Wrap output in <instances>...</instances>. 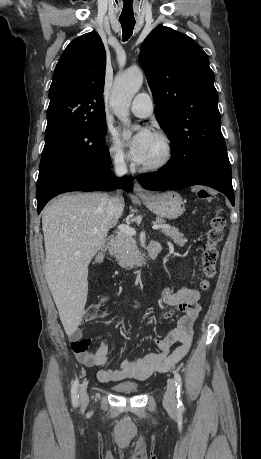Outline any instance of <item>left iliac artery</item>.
Returning <instances> with one entry per match:
<instances>
[{
    "instance_id": "44dca946",
    "label": "left iliac artery",
    "mask_w": 261,
    "mask_h": 459,
    "mask_svg": "<svg viewBox=\"0 0 261 459\" xmlns=\"http://www.w3.org/2000/svg\"><path fill=\"white\" fill-rule=\"evenodd\" d=\"M174 380H175V384L177 387V400H178L177 407L179 409H183L184 406L182 404V379L178 372H174Z\"/></svg>"
}]
</instances>
